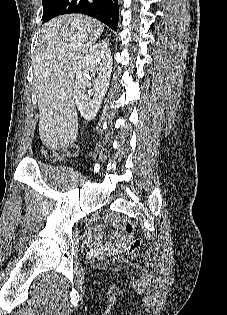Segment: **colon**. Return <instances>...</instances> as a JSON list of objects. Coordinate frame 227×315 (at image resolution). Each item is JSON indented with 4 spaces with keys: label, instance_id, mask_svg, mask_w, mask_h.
<instances>
[{
    "label": "colon",
    "instance_id": "1",
    "mask_svg": "<svg viewBox=\"0 0 227 315\" xmlns=\"http://www.w3.org/2000/svg\"><path fill=\"white\" fill-rule=\"evenodd\" d=\"M75 151L74 147L68 148L66 150H48L47 155L53 158L56 157H65L68 155L73 154ZM121 230L123 231L124 235L127 238L128 245H127V252L130 256H135L139 252L141 241L134 236L135 228L134 224L131 220L127 218H119L117 219Z\"/></svg>",
    "mask_w": 227,
    "mask_h": 315
}]
</instances>
